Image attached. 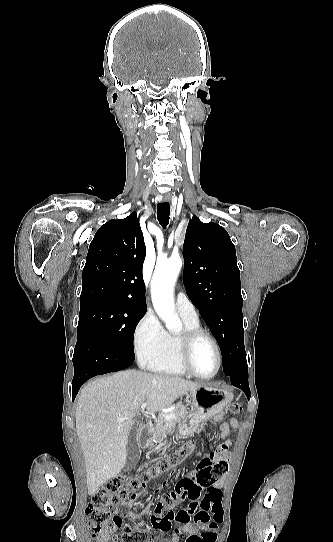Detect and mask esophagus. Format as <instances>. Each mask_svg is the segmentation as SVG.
Masks as SVG:
<instances>
[{
    "instance_id": "34e87169",
    "label": "esophagus",
    "mask_w": 333,
    "mask_h": 542,
    "mask_svg": "<svg viewBox=\"0 0 333 542\" xmlns=\"http://www.w3.org/2000/svg\"><path fill=\"white\" fill-rule=\"evenodd\" d=\"M170 199H171V194H165V195L163 196L164 202H168Z\"/></svg>"
}]
</instances>
